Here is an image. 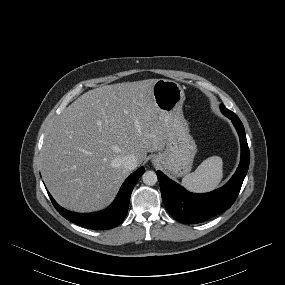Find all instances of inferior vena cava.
<instances>
[{
    "instance_id": "1",
    "label": "inferior vena cava",
    "mask_w": 285,
    "mask_h": 285,
    "mask_svg": "<svg viewBox=\"0 0 285 285\" xmlns=\"http://www.w3.org/2000/svg\"><path fill=\"white\" fill-rule=\"evenodd\" d=\"M137 164V158L134 155H127L123 158V166L128 170L135 169Z\"/></svg>"
}]
</instances>
